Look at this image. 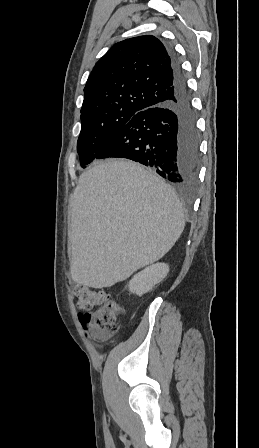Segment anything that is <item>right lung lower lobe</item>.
Masks as SVG:
<instances>
[{
    "label": "right lung lower lobe",
    "mask_w": 259,
    "mask_h": 448,
    "mask_svg": "<svg viewBox=\"0 0 259 448\" xmlns=\"http://www.w3.org/2000/svg\"><path fill=\"white\" fill-rule=\"evenodd\" d=\"M174 73L173 97L137 113L96 159L127 158L153 167L165 179L192 186L200 162L199 134L179 60L168 48Z\"/></svg>",
    "instance_id": "98d812e1"
}]
</instances>
